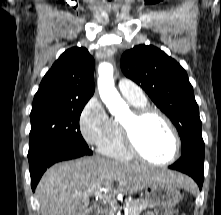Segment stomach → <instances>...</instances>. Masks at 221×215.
I'll use <instances>...</instances> for the list:
<instances>
[{
    "label": "stomach",
    "mask_w": 221,
    "mask_h": 215,
    "mask_svg": "<svg viewBox=\"0 0 221 215\" xmlns=\"http://www.w3.org/2000/svg\"><path fill=\"white\" fill-rule=\"evenodd\" d=\"M145 200L152 207L171 208L179 203L181 194L177 186L164 182L154 181L144 188Z\"/></svg>",
    "instance_id": "stomach-1"
}]
</instances>
